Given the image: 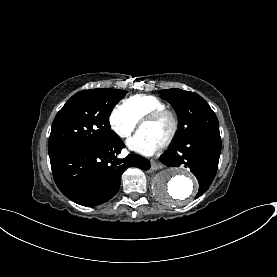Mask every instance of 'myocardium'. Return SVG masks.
I'll return each mask as SVG.
<instances>
[{
  "label": "myocardium",
  "mask_w": 277,
  "mask_h": 277,
  "mask_svg": "<svg viewBox=\"0 0 277 277\" xmlns=\"http://www.w3.org/2000/svg\"><path fill=\"white\" fill-rule=\"evenodd\" d=\"M163 118H167L171 123L169 133L163 140L160 141L162 145H166L173 140L179 128V121L174 112L168 109L151 110L147 112L146 115L140 120L139 127L141 128L143 124L150 123Z\"/></svg>",
  "instance_id": "f54148a6"
}]
</instances>
